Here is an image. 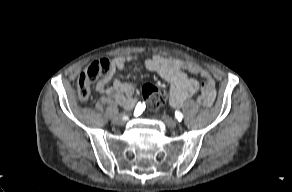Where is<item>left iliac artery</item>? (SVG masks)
<instances>
[{
	"label": "left iliac artery",
	"mask_w": 292,
	"mask_h": 192,
	"mask_svg": "<svg viewBox=\"0 0 292 192\" xmlns=\"http://www.w3.org/2000/svg\"><path fill=\"white\" fill-rule=\"evenodd\" d=\"M175 117L178 121H181L183 119V114L180 111H176Z\"/></svg>",
	"instance_id": "obj_1"
}]
</instances>
